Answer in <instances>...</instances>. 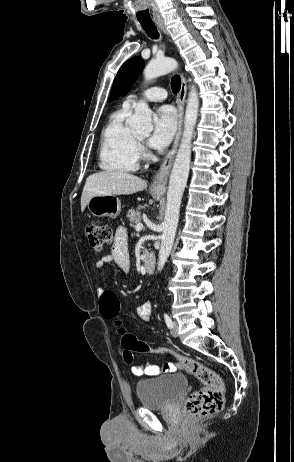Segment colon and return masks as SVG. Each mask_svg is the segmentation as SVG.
Returning a JSON list of instances; mask_svg holds the SVG:
<instances>
[{
    "label": "colon",
    "mask_w": 294,
    "mask_h": 462,
    "mask_svg": "<svg viewBox=\"0 0 294 462\" xmlns=\"http://www.w3.org/2000/svg\"><path fill=\"white\" fill-rule=\"evenodd\" d=\"M85 234L90 246L97 252H101L112 242V231L109 226L97 222L85 224ZM101 314L112 320L119 328L123 348V358L126 363L133 361V352L168 355L174 362L185 371L195 376L203 387L187 398L185 402L186 413L190 417H204L219 412L224 404V383L221 377L203 363L188 357L173 354L164 348L150 345L138 340L135 336L121 327L120 302L115 292L105 290L100 296Z\"/></svg>",
    "instance_id": "obj_1"
}]
</instances>
